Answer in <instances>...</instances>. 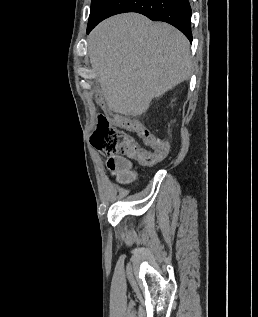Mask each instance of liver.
Masks as SVG:
<instances>
[{
  "mask_svg": "<svg viewBox=\"0 0 258 317\" xmlns=\"http://www.w3.org/2000/svg\"><path fill=\"white\" fill-rule=\"evenodd\" d=\"M92 68L113 112L143 114L192 72L188 38L167 22H152L137 12L102 20L88 34Z\"/></svg>",
  "mask_w": 258,
  "mask_h": 317,
  "instance_id": "liver-1",
  "label": "liver"
}]
</instances>
